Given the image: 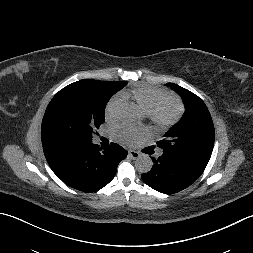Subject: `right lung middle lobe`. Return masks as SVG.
Listing matches in <instances>:
<instances>
[{"label": "right lung middle lobe", "instance_id": "1", "mask_svg": "<svg viewBox=\"0 0 253 253\" xmlns=\"http://www.w3.org/2000/svg\"><path fill=\"white\" fill-rule=\"evenodd\" d=\"M127 82L80 80L60 90L50 101L41 126L42 145L85 144L105 121L109 99Z\"/></svg>", "mask_w": 253, "mask_h": 253}]
</instances>
